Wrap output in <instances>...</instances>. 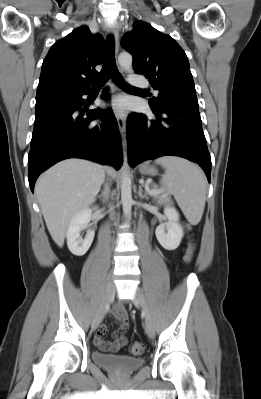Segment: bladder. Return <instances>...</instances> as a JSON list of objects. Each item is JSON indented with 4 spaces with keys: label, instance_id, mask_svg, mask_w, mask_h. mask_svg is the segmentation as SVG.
I'll return each instance as SVG.
<instances>
[{
    "label": "bladder",
    "instance_id": "31cf9c89",
    "mask_svg": "<svg viewBox=\"0 0 261 399\" xmlns=\"http://www.w3.org/2000/svg\"><path fill=\"white\" fill-rule=\"evenodd\" d=\"M92 360L104 369L120 374H130L144 364L143 358L130 357L124 354H103L93 351Z\"/></svg>",
    "mask_w": 261,
    "mask_h": 399
}]
</instances>
